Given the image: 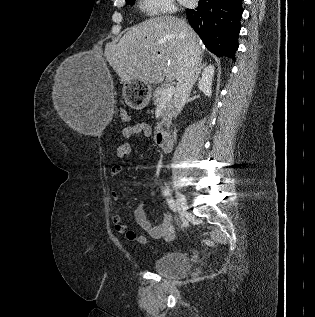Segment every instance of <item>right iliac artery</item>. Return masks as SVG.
<instances>
[{
  "label": "right iliac artery",
  "instance_id": "obj_1",
  "mask_svg": "<svg viewBox=\"0 0 315 317\" xmlns=\"http://www.w3.org/2000/svg\"><path fill=\"white\" fill-rule=\"evenodd\" d=\"M163 194L164 196L166 197V200H167V203L170 207V209L173 211V212H177V207H176V204H175V201L173 198L170 197V192L168 189H164L163 190Z\"/></svg>",
  "mask_w": 315,
  "mask_h": 317
}]
</instances>
